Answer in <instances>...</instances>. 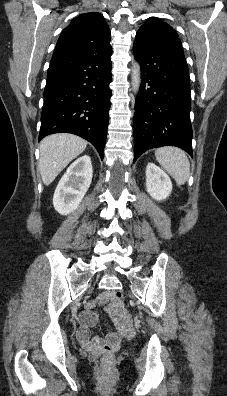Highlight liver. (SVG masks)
Listing matches in <instances>:
<instances>
[{"label":"liver","mask_w":227,"mask_h":396,"mask_svg":"<svg viewBox=\"0 0 227 396\" xmlns=\"http://www.w3.org/2000/svg\"><path fill=\"white\" fill-rule=\"evenodd\" d=\"M87 146V141L73 134H53L40 142L39 171L45 185L51 184L58 174Z\"/></svg>","instance_id":"obj_1"}]
</instances>
